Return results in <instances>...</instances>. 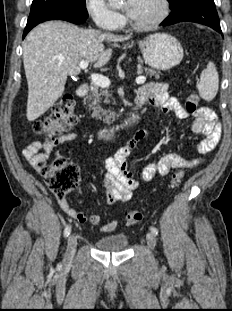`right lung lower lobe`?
Returning <instances> with one entry per match:
<instances>
[{"instance_id":"98d812e1","label":"right lung lower lobe","mask_w":232,"mask_h":311,"mask_svg":"<svg viewBox=\"0 0 232 311\" xmlns=\"http://www.w3.org/2000/svg\"><path fill=\"white\" fill-rule=\"evenodd\" d=\"M86 18L87 17L81 16L76 12L59 8L44 9L41 11L33 12L29 15L23 38L33 27L44 21L65 20L75 24H81L86 21Z\"/></svg>"}]
</instances>
